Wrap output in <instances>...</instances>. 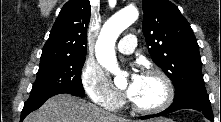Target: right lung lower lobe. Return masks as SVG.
<instances>
[{
    "label": "right lung lower lobe",
    "mask_w": 221,
    "mask_h": 122,
    "mask_svg": "<svg viewBox=\"0 0 221 122\" xmlns=\"http://www.w3.org/2000/svg\"><path fill=\"white\" fill-rule=\"evenodd\" d=\"M61 93H68L74 96H84V93H80L74 90L70 89H58L53 90L47 93H42L38 95L30 96L29 99L25 102L24 108L21 113L20 121H23V119L32 111L38 109L48 98L61 94Z\"/></svg>",
    "instance_id": "obj_1"
}]
</instances>
